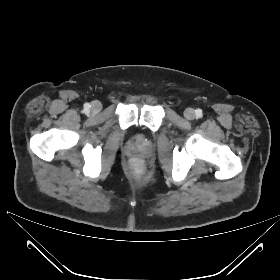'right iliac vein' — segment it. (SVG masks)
<instances>
[{
  "instance_id": "obj_1",
  "label": "right iliac vein",
  "mask_w": 280,
  "mask_h": 280,
  "mask_svg": "<svg viewBox=\"0 0 280 280\" xmlns=\"http://www.w3.org/2000/svg\"><path fill=\"white\" fill-rule=\"evenodd\" d=\"M102 109V105L99 101H94L92 104H91V111L93 113H98L100 112V110Z\"/></svg>"
}]
</instances>
